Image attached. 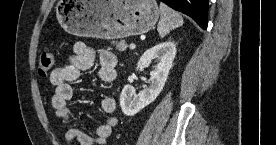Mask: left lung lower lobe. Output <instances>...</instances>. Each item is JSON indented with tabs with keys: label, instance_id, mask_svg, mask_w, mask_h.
<instances>
[{
	"label": "left lung lower lobe",
	"instance_id": "left-lung-lower-lobe-1",
	"mask_svg": "<svg viewBox=\"0 0 276 145\" xmlns=\"http://www.w3.org/2000/svg\"><path fill=\"white\" fill-rule=\"evenodd\" d=\"M171 8L180 11L195 20L202 28L207 27L208 0H161Z\"/></svg>",
	"mask_w": 276,
	"mask_h": 145
}]
</instances>
